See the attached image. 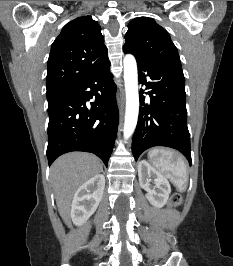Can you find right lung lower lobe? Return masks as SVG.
<instances>
[{
    "mask_svg": "<svg viewBox=\"0 0 233 266\" xmlns=\"http://www.w3.org/2000/svg\"><path fill=\"white\" fill-rule=\"evenodd\" d=\"M115 93L108 62L48 101L49 166L58 156L71 151L94 153L108 164L119 122ZM92 98L95 102L89 108L86 101Z\"/></svg>",
    "mask_w": 233,
    "mask_h": 266,
    "instance_id": "obj_1",
    "label": "right lung lower lobe"
}]
</instances>
